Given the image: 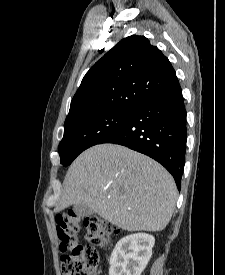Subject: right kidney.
<instances>
[{
    "label": "right kidney",
    "mask_w": 225,
    "mask_h": 275,
    "mask_svg": "<svg viewBox=\"0 0 225 275\" xmlns=\"http://www.w3.org/2000/svg\"><path fill=\"white\" fill-rule=\"evenodd\" d=\"M154 243L155 238L146 233L123 237L111 254L109 275H141L151 258Z\"/></svg>",
    "instance_id": "ca27d5eb"
}]
</instances>
